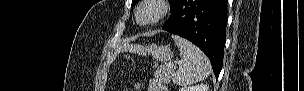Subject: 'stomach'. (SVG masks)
Here are the masks:
<instances>
[{
    "label": "stomach",
    "instance_id": "obj_1",
    "mask_svg": "<svg viewBox=\"0 0 304 91\" xmlns=\"http://www.w3.org/2000/svg\"><path fill=\"white\" fill-rule=\"evenodd\" d=\"M142 52H146L148 54H151L153 58H155L157 61L160 62H166L171 60L173 56V52L168 46H158V45H151L147 49H145ZM132 63L134 61L132 60Z\"/></svg>",
    "mask_w": 304,
    "mask_h": 91
}]
</instances>
